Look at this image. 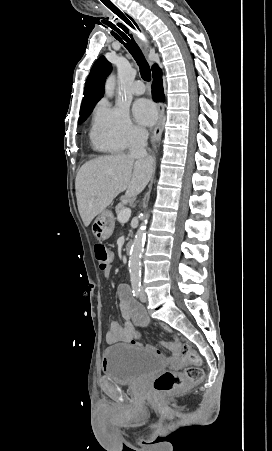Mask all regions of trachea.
Listing matches in <instances>:
<instances>
[{
	"label": "trachea",
	"mask_w": 272,
	"mask_h": 451,
	"mask_svg": "<svg viewBox=\"0 0 272 451\" xmlns=\"http://www.w3.org/2000/svg\"><path fill=\"white\" fill-rule=\"evenodd\" d=\"M128 25L132 26L134 23V20L129 17V19L123 20ZM121 30H123L121 33H112L113 36L123 45L127 48V50L131 53L133 58L136 60L137 64L140 68L141 77L143 80L149 81L151 79V71L150 67L147 63V61L144 58L143 53L141 52L140 48L138 47L137 43L135 42L133 35L129 33V30L127 27H125L123 24H117Z\"/></svg>",
	"instance_id": "obj_1"
}]
</instances>
